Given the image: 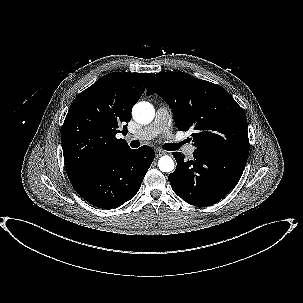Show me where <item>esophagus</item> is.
<instances>
[{
  "label": "esophagus",
  "instance_id": "34e87169",
  "mask_svg": "<svg viewBox=\"0 0 303 303\" xmlns=\"http://www.w3.org/2000/svg\"><path fill=\"white\" fill-rule=\"evenodd\" d=\"M165 152L160 150V149H156L155 150V157L158 158V157H161L162 155H164Z\"/></svg>",
  "mask_w": 303,
  "mask_h": 303
}]
</instances>
